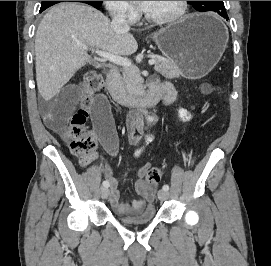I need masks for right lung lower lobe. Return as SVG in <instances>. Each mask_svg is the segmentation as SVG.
Listing matches in <instances>:
<instances>
[{"instance_id": "obj_1", "label": "right lung lower lobe", "mask_w": 271, "mask_h": 266, "mask_svg": "<svg viewBox=\"0 0 271 266\" xmlns=\"http://www.w3.org/2000/svg\"><path fill=\"white\" fill-rule=\"evenodd\" d=\"M77 2H83V3L89 4V5H91V6L95 7V8H97V9H99V7H100V5L95 4V3H92V2H89V1H77ZM45 9H46V8H41V9H40V13H41L42 11H44Z\"/></svg>"}]
</instances>
